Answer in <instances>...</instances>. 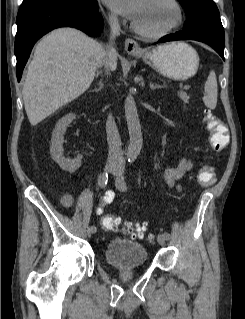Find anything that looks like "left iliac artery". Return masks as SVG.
<instances>
[{
    "label": "left iliac artery",
    "instance_id": "1",
    "mask_svg": "<svg viewBox=\"0 0 245 319\" xmlns=\"http://www.w3.org/2000/svg\"><path fill=\"white\" fill-rule=\"evenodd\" d=\"M129 162H132V160H131V161L129 160ZM121 189H122V190H126V189H127V184H126L125 181L122 182V184H121ZM163 236H164L166 239H169V238H170V234H169L168 232L163 233Z\"/></svg>",
    "mask_w": 245,
    "mask_h": 319
}]
</instances>
